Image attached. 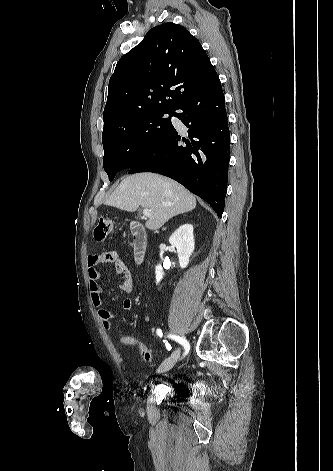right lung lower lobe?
<instances>
[{"label": "right lung lower lobe", "mask_w": 333, "mask_h": 471, "mask_svg": "<svg viewBox=\"0 0 333 471\" xmlns=\"http://www.w3.org/2000/svg\"><path fill=\"white\" fill-rule=\"evenodd\" d=\"M188 130L181 138L172 126L139 158L129 174L153 172L170 177L205 200L221 218L228 182L230 134L221 82L215 75L176 109Z\"/></svg>", "instance_id": "1"}]
</instances>
